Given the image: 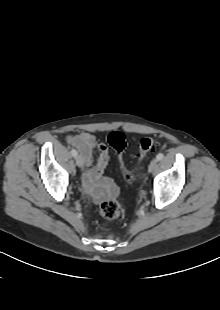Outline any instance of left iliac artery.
Listing matches in <instances>:
<instances>
[{"mask_svg":"<svg viewBox=\"0 0 220 310\" xmlns=\"http://www.w3.org/2000/svg\"><path fill=\"white\" fill-rule=\"evenodd\" d=\"M163 157H164V154H163V153H159V154L156 156V158H157L158 161H159V160H162Z\"/></svg>","mask_w":220,"mask_h":310,"instance_id":"1","label":"left iliac artery"}]
</instances>
